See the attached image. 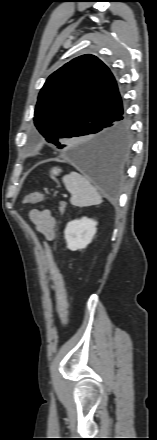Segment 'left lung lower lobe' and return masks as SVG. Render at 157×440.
Masks as SVG:
<instances>
[{
	"label": "left lung lower lobe",
	"instance_id": "obj_1",
	"mask_svg": "<svg viewBox=\"0 0 157 440\" xmlns=\"http://www.w3.org/2000/svg\"><path fill=\"white\" fill-rule=\"evenodd\" d=\"M131 147L130 121L124 108L112 114L84 145H66L75 165L106 193H113L123 175Z\"/></svg>",
	"mask_w": 157,
	"mask_h": 440
}]
</instances>
